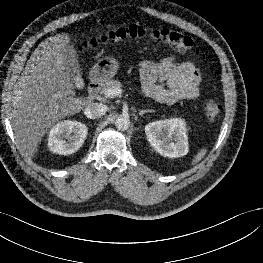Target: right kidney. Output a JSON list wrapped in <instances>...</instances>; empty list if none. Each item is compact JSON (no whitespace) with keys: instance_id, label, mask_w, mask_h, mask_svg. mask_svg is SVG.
<instances>
[{"instance_id":"ca27d5eb","label":"right kidney","mask_w":263,"mask_h":263,"mask_svg":"<svg viewBox=\"0 0 263 263\" xmlns=\"http://www.w3.org/2000/svg\"><path fill=\"white\" fill-rule=\"evenodd\" d=\"M88 133L85 124L64 120L53 126L48 136V148L60 155L75 153L84 143Z\"/></svg>"}]
</instances>
